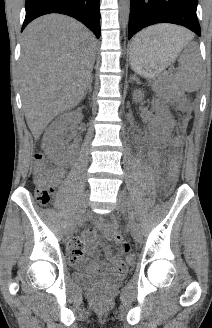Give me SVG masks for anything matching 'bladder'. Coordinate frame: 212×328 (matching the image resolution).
<instances>
[{"instance_id": "obj_1", "label": "bladder", "mask_w": 212, "mask_h": 328, "mask_svg": "<svg viewBox=\"0 0 212 328\" xmlns=\"http://www.w3.org/2000/svg\"><path fill=\"white\" fill-rule=\"evenodd\" d=\"M75 268L73 279L81 285H93L102 282H118L124 278V275L121 273H96L92 270L88 262H79Z\"/></svg>"}]
</instances>
